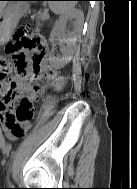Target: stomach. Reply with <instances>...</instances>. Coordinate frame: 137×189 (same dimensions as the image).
<instances>
[{
	"label": "stomach",
	"mask_w": 137,
	"mask_h": 189,
	"mask_svg": "<svg viewBox=\"0 0 137 189\" xmlns=\"http://www.w3.org/2000/svg\"><path fill=\"white\" fill-rule=\"evenodd\" d=\"M16 8V4H9L0 13V35L2 33H8L12 30L15 20L18 16V11Z\"/></svg>",
	"instance_id": "stomach-1"
}]
</instances>
